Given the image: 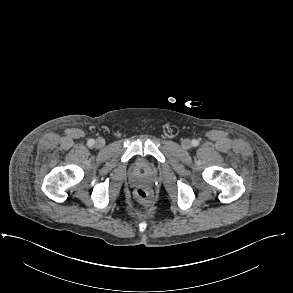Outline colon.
Here are the masks:
<instances>
[{
  "label": "colon",
  "mask_w": 293,
  "mask_h": 293,
  "mask_svg": "<svg viewBox=\"0 0 293 293\" xmlns=\"http://www.w3.org/2000/svg\"><path fill=\"white\" fill-rule=\"evenodd\" d=\"M136 197L141 205H148L150 203L151 195L148 189L144 187L137 188Z\"/></svg>",
  "instance_id": "colon-1"
}]
</instances>
